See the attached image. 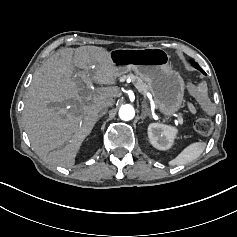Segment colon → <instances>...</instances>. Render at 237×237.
Instances as JSON below:
<instances>
[{
	"label": "colon",
	"mask_w": 237,
	"mask_h": 237,
	"mask_svg": "<svg viewBox=\"0 0 237 237\" xmlns=\"http://www.w3.org/2000/svg\"><path fill=\"white\" fill-rule=\"evenodd\" d=\"M187 89L204 110L211 112L215 109V105L209 100L205 88L200 85L188 83ZM194 129L201 135H208L213 130V122L207 117L197 118L194 121Z\"/></svg>",
	"instance_id": "obj_1"
}]
</instances>
